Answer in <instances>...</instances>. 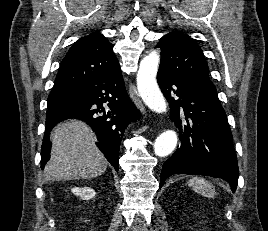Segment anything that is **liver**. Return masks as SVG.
I'll list each match as a JSON object with an SVG mask.
<instances>
[{
  "mask_svg": "<svg viewBox=\"0 0 268 231\" xmlns=\"http://www.w3.org/2000/svg\"><path fill=\"white\" fill-rule=\"evenodd\" d=\"M51 158L45 176L53 181L92 179L102 175L107 160L96 147V137L83 122L68 120L58 124L50 134Z\"/></svg>",
  "mask_w": 268,
  "mask_h": 231,
  "instance_id": "1",
  "label": "liver"
}]
</instances>
